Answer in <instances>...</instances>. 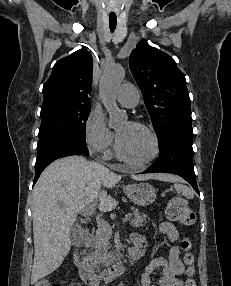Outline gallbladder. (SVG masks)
<instances>
[{"label":"gallbladder","mask_w":231,"mask_h":286,"mask_svg":"<svg viewBox=\"0 0 231 286\" xmlns=\"http://www.w3.org/2000/svg\"><path fill=\"white\" fill-rule=\"evenodd\" d=\"M73 231H74V233H82L83 230H82V228L77 227V228H74Z\"/></svg>","instance_id":"bac80fb5"}]
</instances>
